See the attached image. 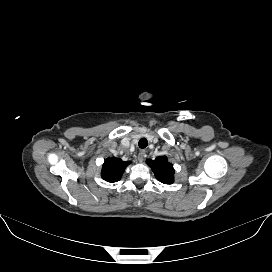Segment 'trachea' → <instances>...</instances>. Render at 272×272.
<instances>
[{
  "label": "trachea",
  "instance_id": "1",
  "mask_svg": "<svg viewBox=\"0 0 272 272\" xmlns=\"http://www.w3.org/2000/svg\"><path fill=\"white\" fill-rule=\"evenodd\" d=\"M140 148H146L148 145V141L146 138H141L138 142Z\"/></svg>",
  "mask_w": 272,
  "mask_h": 272
}]
</instances>
